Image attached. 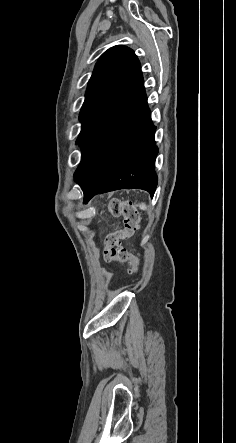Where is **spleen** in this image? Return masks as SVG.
<instances>
[{"instance_id":"obj_1","label":"spleen","mask_w":236,"mask_h":443,"mask_svg":"<svg viewBox=\"0 0 236 443\" xmlns=\"http://www.w3.org/2000/svg\"><path fill=\"white\" fill-rule=\"evenodd\" d=\"M139 208L143 211L147 210V205L145 203H139Z\"/></svg>"}]
</instances>
